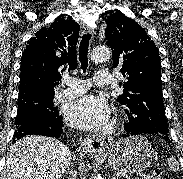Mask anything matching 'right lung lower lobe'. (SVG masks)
Wrapping results in <instances>:
<instances>
[{"label": "right lung lower lobe", "instance_id": "right-lung-lower-lobe-1", "mask_svg": "<svg viewBox=\"0 0 183 179\" xmlns=\"http://www.w3.org/2000/svg\"><path fill=\"white\" fill-rule=\"evenodd\" d=\"M63 133L62 116H57L50 120H29L16 128L13 141L21 139L26 135H44L59 138Z\"/></svg>", "mask_w": 183, "mask_h": 179}]
</instances>
